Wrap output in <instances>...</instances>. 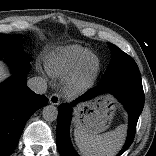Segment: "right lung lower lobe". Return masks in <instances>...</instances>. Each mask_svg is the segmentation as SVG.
Masks as SVG:
<instances>
[{
	"mask_svg": "<svg viewBox=\"0 0 156 156\" xmlns=\"http://www.w3.org/2000/svg\"><path fill=\"white\" fill-rule=\"evenodd\" d=\"M13 75L0 85V156H9L15 149L30 116L47 104L44 95L35 94L26 86L28 61L6 59Z\"/></svg>",
	"mask_w": 156,
	"mask_h": 156,
	"instance_id": "obj_1",
	"label": "right lung lower lobe"
}]
</instances>
